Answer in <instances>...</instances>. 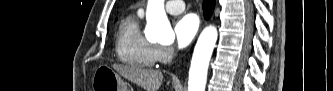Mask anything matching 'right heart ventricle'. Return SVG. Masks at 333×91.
Returning <instances> with one entry per match:
<instances>
[{"label": "right heart ventricle", "mask_w": 333, "mask_h": 91, "mask_svg": "<svg viewBox=\"0 0 333 91\" xmlns=\"http://www.w3.org/2000/svg\"><path fill=\"white\" fill-rule=\"evenodd\" d=\"M140 13L124 18L116 35V53L121 62L134 68H150L156 62V46L140 31Z\"/></svg>", "instance_id": "e07e8e85"}]
</instances>
